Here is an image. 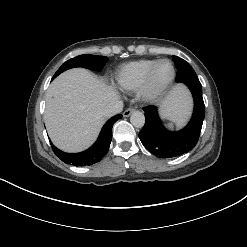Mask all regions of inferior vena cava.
I'll use <instances>...</instances> for the list:
<instances>
[{
  "mask_svg": "<svg viewBox=\"0 0 247 247\" xmlns=\"http://www.w3.org/2000/svg\"><path fill=\"white\" fill-rule=\"evenodd\" d=\"M123 110V102L122 101H113L110 104H108L104 111L103 115L105 117H111L116 114H119Z\"/></svg>",
  "mask_w": 247,
  "mask_h": 247,
  "instance_id": "inferior-vena-cava-1",
  "label": "inferior vena cava"
}]
</instances>
